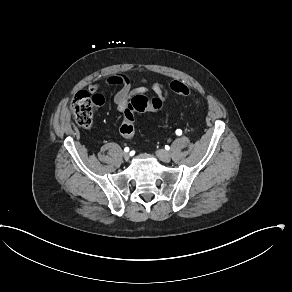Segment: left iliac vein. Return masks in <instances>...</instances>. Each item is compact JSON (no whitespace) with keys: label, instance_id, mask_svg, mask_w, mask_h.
Segmentation results:
<instances>
[{"label":"left iliac vein","instance_id":"left-iliac-vein-1","mask_svg":"<svg viewBox=\"0 0 292 292\" xmlns=\"http://www.w3.org/2000/svg\"><path fill=\"white\" fill-rule=\"evenodd\" d=\"M156 155L163 162H170V160H171L170 153L165 151V150H163V149L158 150L156 152Z\"/></svg>","mask_w":292,"mask_h":292}]
</instances>
